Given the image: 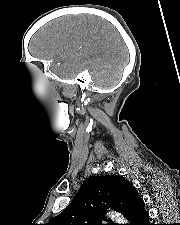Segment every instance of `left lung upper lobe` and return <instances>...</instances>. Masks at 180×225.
<instances>
[{
    "instance_id": "1",
    "label": "left lung upper lobe",
    "mask_w": 180,
    "mask_h": 225,
    "mask_svg": "<svg viewBox=\"0 0 180 225\" xmlns=\"http://www.w3.org/2000/svg\"><path fill=\"white\" fill-rule=\"evenodd\" d=\"M144 207L143 199L127 179L121 176H91L79 189L69 206L46 225H116L103 217L111 208L129 219Z\"/></svg>"
}]
</instances>
